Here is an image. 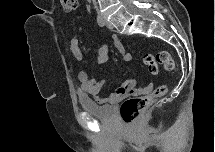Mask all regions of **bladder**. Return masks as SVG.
Segmentation results:
<instances>
[{
  "mask_svg": "<svg viewBox=\"0 0 215 152\" xmlns=\"http://www.w3.org/2000/svg\"><path fill=\"white\" fill-rule=\"evenodd\" d=\"M82 109L103 120H111L114 116V108L112 105H101L90 97L82 96L79 98Z\"/></svg>",
  "mask_w": 215,
  "mask_h": 152,
  "instance_id": "1",
  "label": "bladder"
}]
</instances>
